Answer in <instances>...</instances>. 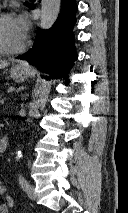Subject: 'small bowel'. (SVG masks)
Wrapping results in <instances>:
<instances>
[{"label":"small bowel","instance_id":"c3829d8e","mask_svg":"<svg viewBox=\"0 0 128 213\" xmlns=\"http://www.w3.org/2000/svg\"><path fill=\"white\" fill-rule=\"evenodd\" d=\"M0 213H9V208L6 204H0Z\"/></svg>","mask_w":128,"mask_h":213}]
</instances>
